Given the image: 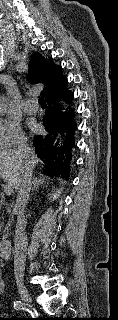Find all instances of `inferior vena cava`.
Wrapping results in <instances>:
<instances>
[{
    "label": "inferior vena cava",
    "mask_w": 118,
    "mask_h": 320,
    "mask_svg": "<svg viewBox=\"0 0 118 320\" xmlns=\"http://www.w3.org/2000/svg\"><path fill=\"white\" fill-rule=\"evenodd\" d=\"M18 152L25 162L24 173L18 185V194L13 213L17 216L15 228V250H14V276L17 282L23 280L26 252H27V236L26 218L24 216L25 207L27 205L30 190L32 188V163L34 158L33 149L27 144L26 139H22L18 145Z\"/></svg>",
    "instance_id": "obj_1"
}]
</instances>
